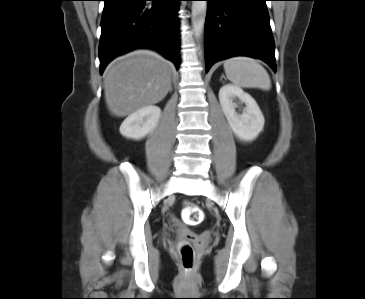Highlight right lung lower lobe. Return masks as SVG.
I'll return each mask as SVG.
<instances>
[{
  "instance_id": "right-lung-lower-lobe-1",
  "label": "right lung lower lobe",
  "mask_w": 365,
  "mask_h": 299,
  "mask_svg": "<svg viewBox=\"0 0 365 299\" xmlns=\"http://www.w3.org/2000/svg\"><path fill=\"white\" fill-rule=\"evenodd\" d=\"M100 73L118 55L154 49L180 65L178 6L181 0H103Z\"/></svg>"
}]
</instances>
